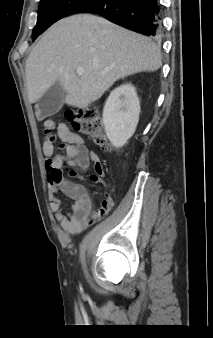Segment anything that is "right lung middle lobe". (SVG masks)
I'll list each match as a JSON object with an SVG mask.
<instances>
[{"mask_svg":"<svg viewBox=\"0 0 213 338\" xmlns=\"http://www.w3.org/2000/svg\"><path fill=\"white\" fill-rule=\"evenodd\" d=\"M92 0H41L37 24L32 32L33 41L49 26Z\"/></svg>","mask_w":213,"mask_h":338,"instance_id":"1","label":"right lung middle lobe"}]
</instances>
